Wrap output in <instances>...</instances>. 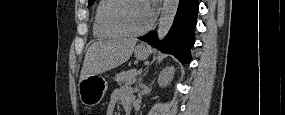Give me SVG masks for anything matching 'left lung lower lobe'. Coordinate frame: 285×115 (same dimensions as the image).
Here are the masks:
<instances>
[{"instance_id": "1", "label": "left lung lower lobe", "mask_w": 285, "mask_h": 115, "mask_svg": "<svg viewBox=\"0 0 285 115\" xmlns=\"http://www.w3.org/2000/svg\"><path fill=\"white\" fill-rule=\"evenodd\" d=\"M198 0H180L175 20L164 40L158 41L157 33L151 31L140 40L158 47L162 52L170 53L183 64L191 61L190 49L194 45V29L197 23Z\"/></svg>"}]
</instances>
